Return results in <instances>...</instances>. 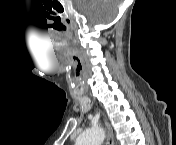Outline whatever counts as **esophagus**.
I'll return each mask as SVG.
<instances>
[{"instance_id":"esophagus-1","label":"esophagus","mask_w":176,"mask_h":145,"mask_svg":"<svg viewBox=\"0 0 176 145\" xmlns=\"http://www.w3.org/2000/svg\"><path fill=\"white\" fill-rule=\"evenodd\" d=\"M104 123H105L106 130H107L106 145H114V135H113L112 128L105 118H104Z\"/></svg>"}]
</instances>
